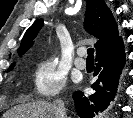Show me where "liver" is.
Segmentation results:
<instances>
[{
	"instance_id": "6515ba94",
	"label": "liver",
	"mask_w": 133,
	"mask_h": 118,
	"mask_svg": "<svg viewBox=\"0 0 133 118\" xmlns=\"http://www.w3.org/2000/svg\"><path fill=\"white\" fill-rule=\"evenodd\" d=\"M3 118H57L52 104L32 102L16 106L7 111Z\"/></svg>"
}]
</instances>
